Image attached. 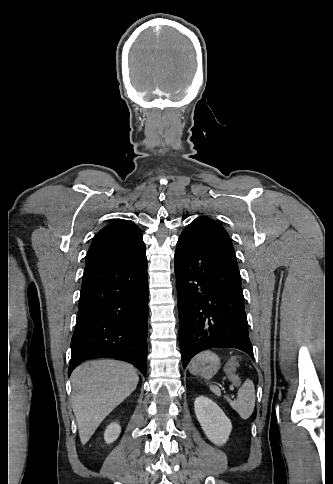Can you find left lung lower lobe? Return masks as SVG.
Returning a JSON list of instances; mask_svg holds the SVG:
<instances>
[{
  "instance_id": "1",
  "label": "left lung lower lobe",
  "mask_w": 333,
  "mask_h": 484,
  "mask_svg": "<svg viewBox=\"0 0 333 484\" xmlns=\"http://www.w3.org/2000/svg\"><path fill=\"white\" fill-rule=\"evenodd\" d=\"M174 267L183 367L216 347L240 349L254 360L241 277L223 226L207 217L191 222L177 242Z\"/></svg>"
}]
</instances>
